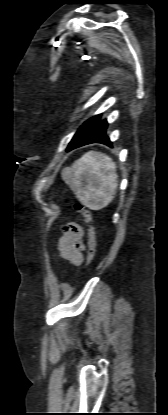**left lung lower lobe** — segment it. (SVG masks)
<instances>
[{"label":"left lung lower lobe","instance_id":"left-lung-lower-lobe-1","mask_svg":"<svg viewBox=\"0 0 168 415\" xmlns=\"http://www.w3.org/2000/svg\"><path fill=\"white\" fill-rule=\"evenodd\" d=\"M98 115L85 132L75 141V143L67 148V151L73 150L90 143H101L112 146V142L106 135L108 123L106 120L100 121Z\"/></svg>","mask_w":168,"mask_h":415}]
</instances>
